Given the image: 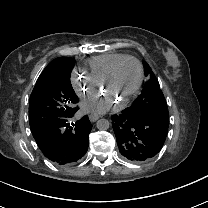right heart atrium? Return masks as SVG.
<instances>
[{"label":"right heart atrium","mask_w":208,"mask_h":208,"mask_svg":"<svg viewBox=\"0 0 208 208\" xmlns=\"http://www.w3.org/2000/svg\"><path fill=\"white\" fill-rule=\"evenodd\" d=\"M70 84L74 92L82 99L97 97L98 83L88 73L79 74L75 69L70 74Z\"/></svg>","instance_id":"1"}]
</instances>
